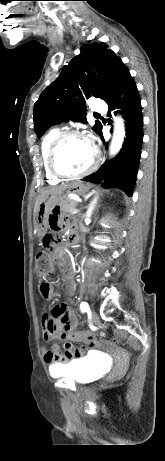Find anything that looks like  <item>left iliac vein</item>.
Wrapping results in <instances>:
<instances>
[{"label": "left iliac vein", "instance_id": "left-iliac-vein-1", "mask_svg": "<svg viewBox=\"0 0 165 461\" xmlns=\"http://www.w3.org/2000/svg\"><path fill=\"white\" fill-rule=\"evenodd\" d=\"M90 317H91V320L94 322V323H97L99 321V316L97 314L96 311L94 310H91L90 312Z\"/></svg>", "mask_w": 165, "mask_h": 461}]
</instances>
